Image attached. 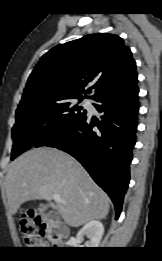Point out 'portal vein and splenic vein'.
I'll return each mask as SVG.
<instances>
[{
    "label": "portal vein and splenic vein",
    "instance_id": "1",
    "mask_svg": "<svg viewBox=\"0 0 162 261\" xmlns=\"http://www.w3.org/2000/svg\"><path fill=\"white\" fill-rule=\"evenodd\" d=\"M53 199L55 200V201H61V197H60V195L59 194H53Z\"/></svg>",
    "mask_w": 162,
    "mask_h": 261
}]
</instances>
